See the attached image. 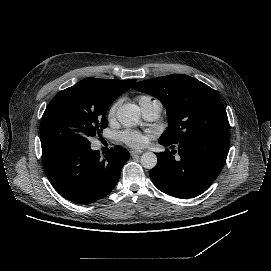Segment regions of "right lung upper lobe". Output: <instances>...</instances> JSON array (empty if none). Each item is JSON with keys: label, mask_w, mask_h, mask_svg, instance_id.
<instances>
[{"label": "right lung upper lobe", "mask_w": 271, "mask_h": 271, "mask_svg": "<svg viewBox=\"0 0 271 271\" xmlns=\"http://www.w3.org/2000/svg\"><path fill=\"white\" fill-rule=\"evenodd\" d=\"M135 81L136 79L87 78L65 90L75 92L90 106L109 107L113 100L128 90Z\"/></svg>", "instance_id": "right-lung-upper-lobe-1"}]
</instances>
